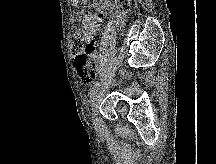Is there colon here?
Returning <instances> with one entry per match:
<instances>
[{
	"mask_svg": "<svg viewBox=\"0 0 216 164\" xmlns=\"http://www.w3.org/2000/svg\"><path fill=\"white\" fill-rule=\"evenodd\" d=\"M107 6L113 8L118 14L119 23L130 9L129 0H108ZM100 23V17L84 20V29L80 34L72 38L71 50L75 54L74 64L82 81L90 84L95 81L97 75L96 45L90 39L91 33Z\"/></svg>",
	"mask_w": 216,
	"mask_h": 164,
	"instance_id": "colon-1",
	"label": "colon"
}]
</instances>
